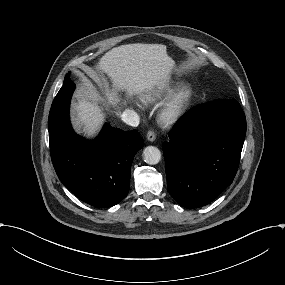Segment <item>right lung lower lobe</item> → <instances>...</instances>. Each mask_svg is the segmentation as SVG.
Masks as SVG:
<instances>
[{
  "instance_id": "98d812e1",
  "label": "right lung lower lobe",
  "mask_w": 285,
  "mask_h": 285,
  "mask_svg": "<svg viewBox=\"0 0 285 285\" xmlns=\"http://www.w3.org/2000/svg\"><path fill=\"white\" fill-rule=\"evenodd\" d=\"M74 88V83L67 79L50 109L52 163L64 186L80 200L92 206L110 207L129 191L131 164L143 147V140L137 130L124 132L108 124L94 141L76 135L69 121Z\"/></svg>"
}]
</instances>
